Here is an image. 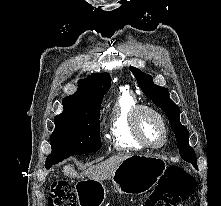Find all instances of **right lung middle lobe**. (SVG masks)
I'll return each mask as SVG.
<instances>
[{
  "label": "right lung middle lobe",
  "instance_id": "dd1d6c3e",
  "mask_svg": "<svg viewBox=\"0 0 221 206\" xmlns=\"http://www.w3.org/2000/svg\"><path fill=\"white\" fill-rule=\"evenodd\" d=\"M99 117L100 107L57 115L54 118L55 129L51 134L52 152L45 166H52L73 155L99 150Z\"/></svg>",
  "mask_w": 221,
  "mask_h": 206
}]
</instances>
